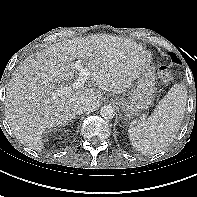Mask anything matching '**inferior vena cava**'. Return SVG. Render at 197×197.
<instances>
[{
    "instance_id": "602c4592",
    "label": "inferior vena cava",
    "mask_w": 197,
    "mask_h": 197,
    "mask_svg": "<svg viewBox=\"0 0 197 197\" xmlns=\"http://www.w3.org/2000/svg\"><path fill=\"white\" fill-rule=\"evenodd\" d=\"M91 109V102L88 99H81L74 105L75 113L80 115Z\"/></svg>"
}]
</instances>
